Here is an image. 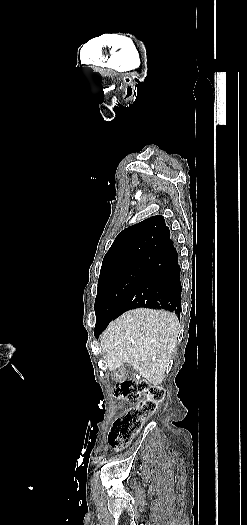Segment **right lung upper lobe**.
<instances>
[{"label":"right lung upper lobe","instance_id":"obj_1","mask_svg":"<svg viewBox=\"0 0 247 525\" xmlns=\"http://www.w3.org/2000/svg\"><path fill=\"white\" fill-rule=\"evenodd\" d=\"M172 243L162 216H152L121 231L104 256L100 272L130 268Z\"/></svg>","mask_w":247,"mask_h":525}]
</instances>
